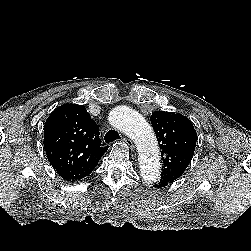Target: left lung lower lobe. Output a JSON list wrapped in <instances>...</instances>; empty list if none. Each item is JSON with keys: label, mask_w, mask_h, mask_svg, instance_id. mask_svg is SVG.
Here are the masks:
<instances>
[{"label": "left lung lower lobe", "mask_w": 251, "mask_h": 251, "mask_svg": "<svg viewBox=\"0 0 251 251\" xmlns=\"http://www.w3.org/2000/svg\"><path fill=\"white\" fill-rule=\"evenodd\" d=\"M168 184H166V182H163V181H159L158 184L155 185V187H165L167 186Z\"/></svg>", "instance_id": "obj_1"}]
</instances>
